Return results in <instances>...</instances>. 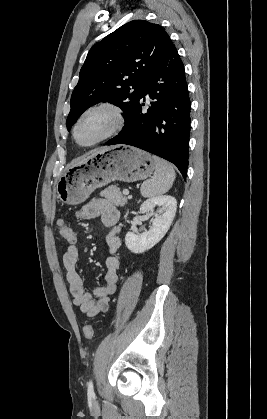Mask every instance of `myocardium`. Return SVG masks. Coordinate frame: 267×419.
Here are the masks:
<instances>
[{
    "mask_svg": "<svg viewBox=\"0 0 267 419\" xmlns=\"http://www.w3.org/2000/svg\"><path fill=\"white\" fill-rule=\"evenodd\" d=\"M100 110L107 111L110 114L112 118L111 126L102 136H100L98 139L94 140L93 142L87 143V144L81 143L78 139V134H77L78 128L81 122L90 113L95 112V111H100ZM124 124H125V114H124L123 109L119 105L111 101H100V102L91 104L90 106H88L82 111V113L79 115V117L77 118L75 122V125L73 128V137L78 145L82 147H93L95 145H98L110 139L114 135H116L123 128Z\"/></svg>",
    "mask_w": 267,
    "mask_h": 419,
    "instance_id": "obj_1",
    "label": "myocardium"
}]
</instances>
